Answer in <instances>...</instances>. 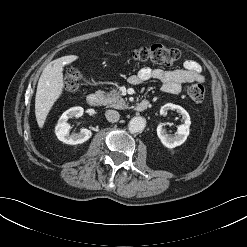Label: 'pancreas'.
Instances as JSON below:
<instances>
[{
	"mask_svg": "<svg viewBox=\"0 0 247 247\" xmlns=\"http://www.w3.org/2000/svg\"><path fill=\"white\" fill-rule=\"evenodd\" d=\"M97 95L100 97L101 103L107 107L115 109H125L128 107L126 100L122 98L121 94L116 90H112L108 93L99 90L97 91Z\"/></svg>",
	"mask_w": 247,
	"mask_h": 247,
	"instance_id": "pancreas-1",
	"label": "pancreas"
}]
</instances>
